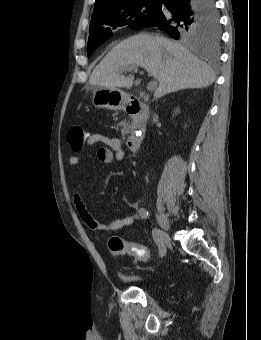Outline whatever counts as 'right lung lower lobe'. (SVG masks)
I'll return each mask as SVG.
<instances>
[{"mask_svg":"<svg viewBox=\"0 0 261 340\" xmlns=\"http://www.w3.org/2000/svg\"><path fill=\"white\" fill-rule=\"evenodd\" d=\"M161 10L147 27H157L177 39L179 24L194 13L208 16L217 13L215 0H162Z\"/></svg>","mask_w":261,"mask_h":340,"instance_id":"98d812e1","label":"right lung lower lobe"}]
</instances>
